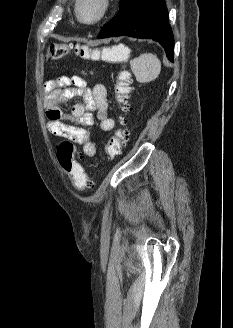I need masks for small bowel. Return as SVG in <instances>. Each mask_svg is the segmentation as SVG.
Here are the masks:
<instances>
[{"instance_id": "obj_1", "label": "small bowel", "mask_w": 233, "mask_h": 328, "mask_svg": "<svg viewBox=\"0 0 233 328\" xmlns=\"http://www.w3.org/2000/svg\"><path fill=\"white\" fill-rule=\"evenodd\" d=\"M44 93L48 130L80 144L85 156H94L96 146L91 140L94 113L102 131L108 132L115 127V121L109 115L106 87L96 84L89 88L80 76H60L45 83ZM76 96H80L82 102L73 105L71 115L64 114L61 107ZM69 120L74 124H69Z\"/></svg>"}]
</instances>
